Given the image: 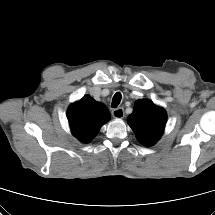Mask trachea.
Returning <instances> with one entry per match:
<instances>
[{"instance_id":"3493384b","label":"trachea","mask_w":215,"mask_h":215,"mask_svg":"<svg viewBox=\"0 0 215 215\" xmlns=\"http://www.w3.org/2000/svg\"><path fill=\"white\" fill-rule=\"evenodd\" d=\"M121 98H122V96H121L120 92L115 93V95L113 96V99H112L111 106L113 108H116L120 104Z\"/></svg>"}]
</instances>
